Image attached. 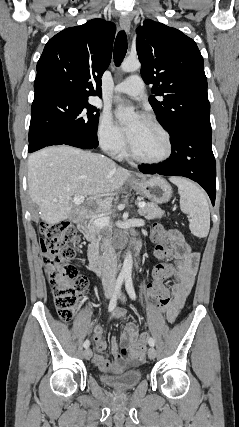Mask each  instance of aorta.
<instances>
[{"instance_id":"1","label":"aorta","mask_w":239,"mask_h":427,"mask_svg":"<svg viewBox=\"0 0 239 427\" xmlns=\"http://www.w3.org/2000/svg\"><path fill=\"white\" fill-rule=\"evenodd\" d=\"M141 64L138 59H125L121 64V69L124 72H134L140 69ZM119 100V97H116ZM135 115L133 107H119L117 117L122 123H126L133 119ZM133 259L132 254L128 252L125 256L120 275L123 277H130L132 274Z\"/></svg>"}]
</instances>
